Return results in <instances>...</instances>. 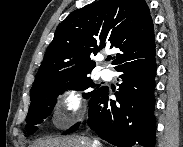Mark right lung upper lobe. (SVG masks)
Returning a JSON list of instances; mask_svg holds the SVG:
<instances>
[{"mask_svg": "<svg viewBox=\"0 0 183 147\" xmlns=\"http://www.w3.org/2000/svg\"><path fill=\"white\" fill-rule=\"evenodd\" d=\"M105 47L119 48L115 69L155 53L153 22L144 0H99L73 11L57 27L32 90L62 78L88 75Z\"/></svg>", "mask_w": 183, "mask_h": 147, "instance_id": "cb5924a9", "label": "right lung upper lobe"}]
</instances>
